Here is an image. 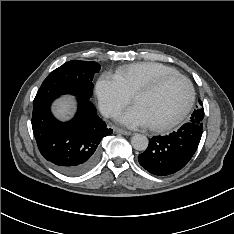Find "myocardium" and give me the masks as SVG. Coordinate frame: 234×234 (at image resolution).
I'll use <instances>...</instances> for the list:
<instances>
[{
    "mask_svg": "<svg viewBox=\"0 0 234 234\" xmlns=\"http://www.w3.org/2000/svg\"><path fill=\"white\" fill-rule=\"evenodd\" d=\"M175 79L183 81L188 88L189 97H188V101L186 103V106L172 120L165 122V123H162V124L150 125V128L154 131H157V132L168 131V130L176 127L178 124H180L185 119V117L188 115V113L192 109L194 101H195V90H194L193 84L184 75H181L179 73L178 74H170V75L162 76V77L156 79L155 81L140 87L133 94V101L135 102V100L138 96L151 94V93L157 91L158 89H160L166 83H168L172 80H175Z\"/></svg>",
    "mask_w": 234,
    "mask_h": 234,
    "instance_id": "f54148a6",
    "label": "myocardium"
}]
</instances>
